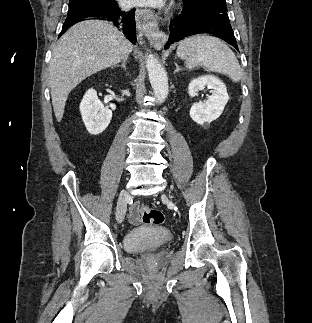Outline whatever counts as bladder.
I'll list each match as a JSON object with an SVG mask.
<instances>
[{
    "label": "bladder",
    "mask_w": 312,
    "mask_h": 323,
    "mask_svg": "<svg viewBox=\"0 0 312 323\" xmlns=\"http://www.w3.org/2000/svg\"><path fill=\"white\" fill-rule=\"evenodd\" d=\"M164 230H158L157 234H150L147 237H139L136 231L132 232L129 236V240L126 242L125 249L138 252L146 246L155 247L163 243H169L171 235Z\"/></svg>",
    "instance_id": "bladder-1"
}]
</instances>
